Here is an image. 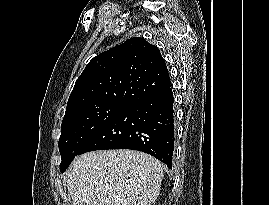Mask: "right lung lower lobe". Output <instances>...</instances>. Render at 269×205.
Returning a JSON list of instances; mask_svg holds the SVG:
<instances>
[{"mask_svg": "<svg viewBox=\"0 0 269 205\" xmlns=\"http://www.w3.org/2000/svg\"><path fill=\"white\" fill-rule=\"evenodd\" d=\"M174 99L169 88L145 97L114 116L80 151L133 149L148 153L172 169Z\"/></svg>", "mask_w": 269, "mask_h": 205, "instance_id": "right-lung-lower-lobe-1", "label": "right lung lower lobe"}]
</instances>
